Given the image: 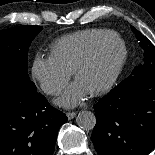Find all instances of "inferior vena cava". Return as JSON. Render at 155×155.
I'll list each match as a JSON object with an SVG mask.
<instances>
[{
    "label": "inferior vena cava",
    "mask_w": 155,
    "mask_h": 155,
    "mask_svg": "<svg viewBox=\"0 0 155 155\" xmlns=\"http://www.w3.org/2000/svg\"><path fill=\"white\" fill-rule=\"evenodd\" d=\"M43 90L48 94H59L61 92V88L53 83L44 84Z\"/></svg>",
    "instance_id": "inferior-vena-cava-1"
}]
</instances>
